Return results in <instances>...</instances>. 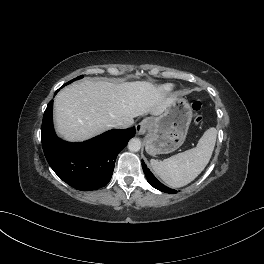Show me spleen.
<instances>
[{
  "instance_id": "spleen-1",
  "label": "spleen",
  "mask_w": 264,
  "mask_h": 264,
  "mask_svg": "<svg viewBox=\"0 0 264 264\" xmlns=\"http://www.w3.org/2000/svg\"><path fill=\"white\" fill-rule=\"evenodd\" d=\"M217 130L205 131L195 148L159 161L151 159L154 172L169 186L183 187L192 182L208 164L215 147Z\"/></svg>"
}]
</instances>
